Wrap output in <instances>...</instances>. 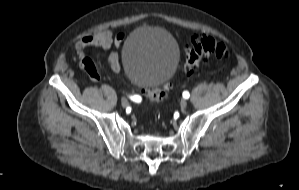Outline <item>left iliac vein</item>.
Masks as SVG:
<instances>
[{
	"instance_id": "obj_1",
	"label": "left iliac vein",
	"mask_w": 299,
	"mask_h": 190,
	"mask_svg": "<svg viewBox=\"0 0 299 190\" xmlns=\"http://www.w3.org/2000/svg\"><path fill=\"white\" fill-rule=\"evenodd\" d=\"M180 107L181 109H185L187 107V101L185 99L181 100Z\"/></svg>"
}]
</instances>
